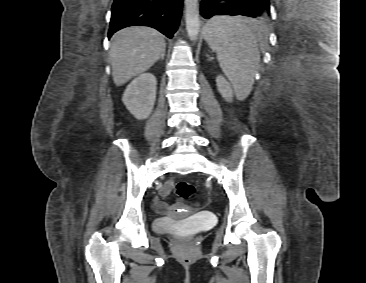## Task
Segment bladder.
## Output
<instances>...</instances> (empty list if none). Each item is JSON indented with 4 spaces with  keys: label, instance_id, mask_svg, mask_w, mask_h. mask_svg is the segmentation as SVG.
Instances as JSON below:
<instances>
[{
    "label": "bladder",
    "instance_id": "31cf9c89",
    "mask_svg": "<svg viewBox=\"0 0 366 283\" xmlns=\"http://www.w3.org/2000/svg\"><path fill=\"white\" fill-rule=\"evenodd\" d=\"M206 225L203 222H197L194 226L189 228V231L195 232L205 229ZM154 229L158 233H175L179 231V227L172 220L165 218H158L154 221Z\"/></svg>",
    "mask_w": 366,
    "mask_h": 283
}]
</instances>
